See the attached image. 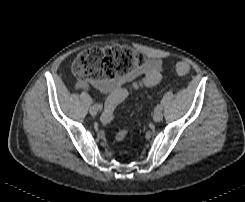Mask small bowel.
Returning <instances> with one entry per match:
<instances>
[{"label": "small bowel", "instance_id": "obj_1", "mask_svg": "<svg viewBox=\"0 0 245 202\" xmlns=\"http://www.w3.org/2000/svg\"><path fill=\"white\" fill-rule=\"evenodd\" d=\"M162 62L158 58H148L135 65L126 79L120 83L107 78L80 80L77 88L81 90L97 89L107 94V104L115 107L130 94L143 87L156 85L161 77Z\"/></svg>", "mask_w": 245, "mask_h": 202}]
</instances>
